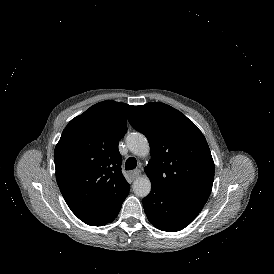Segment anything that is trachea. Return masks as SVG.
I'll list each match as a JSON object with an SVG mask.
<instances>
[{
    "label": "trachea",
    "mask_w": 274,
    "mask_h": 274,
    "mask_svg": "<svg viewBox=\"0 0 274 274\" xmlns=\"http://www.w3.org/2000/svg\"><path fill=\"white\" fill-rule=\"evenodd\" d=\"M137 166V161L134 157H129L127 160H126V163H125V169L126 170H132V169H135Z\"/></svg>",
    "instance_id": "3493384b"
}]
</instances>
